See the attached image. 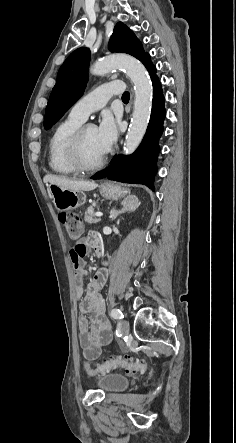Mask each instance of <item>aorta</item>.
I'll return each instance as SVG.
<instances>
[{
	"label": "aorta",
	"mask_w": 236,
	"mask_h": 443,
	"mask_svg": "<svg viewBox=\"0 0 236 443\" xmlns=\"http://www.w3.org/2000/svg\"><path fill=\"white\" fill-rule=\"evenodd\" d=\"M116 68H123L126 75L134 83V110L124 143L125 154H131L146 132L152 108L153 88L143 64L128 55L108 56L95 63L90 72L93 75L100 76Z\"/></svg>",
	"instance_id": "762f6f07"
}]
</instances>
